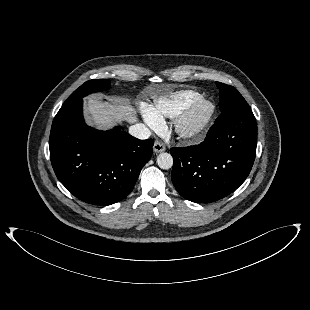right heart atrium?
<instances>
[{
	"label": "right heart atrium",
	"instance_id": "obj_1",
	"mask_svg": "<svg viewBox=\"0 0 310 310\" xmlns=\"http://www.w3.org/2000/svg\"><path fill=\"white\" fill-rule=\"evenodd\" d=\"M144 120L154 130H161L164 125L163 120L149 112V107L144 109Z\"/></svg>",
	"mask_w": 310,
	"mask_h": 310
}]
</instances>
